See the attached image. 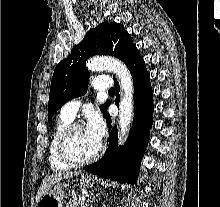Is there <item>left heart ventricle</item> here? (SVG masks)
Instances as JSON below:
<instances>
[{
  "mask_svg": "<svg viewBox=\"0 0 220 207\" xmlns=\"http://www.w3.org/2000/svg\"><path fill=\"white\" fill-rule=\"evenodd\" d=\"M100 142L95 140L85 128L76 129L69 137L67 149L71 157L84 160L98 150Z\"/></svg>",
  "mask_w": 220,
  "mask_h": 207,
  "instance_id": "obj_1",
  "label": "left heart ventricle"
}]
</instances>
